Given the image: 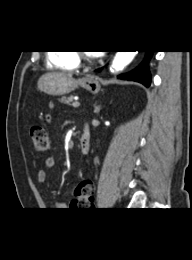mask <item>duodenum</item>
Returning <instances> with one entry per match:
<instances>
[{
  "mask_svg": "<svg viewBox=\"0 0 192 260\" xmlns=\"http://www.w3.org/2000/svg\"><path fill=\"white\" fill-rule=\"evenodd\" d=\"M91 146V133L89 126L86 124L80 138V151L82 154H87Z\"/></svg>",
  "mask_w": 192,
  "mask_h": 260,
  "instance_id": "duodenum-1",
  "label": "duodenum"
}]
</instances>
